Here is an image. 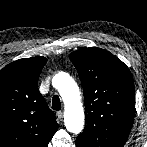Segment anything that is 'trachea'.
<instances>
[{
    "mask_svg": "<svg viewBox=\"0 0 147 147\" xmlns=\"http://www.w3.org/2000/svg\"><path fill=\"white\" fill-rule=\"evenodd\" d=\"M52 109L56 110V111L61 109L60 98L57 95L53 96V99H52Z\"/></svg>",
    "mask_w": 147,
    "mask_h": 147,
    "instance_id": "obj_1",
    "label": "trachea"
}]
</instances>
